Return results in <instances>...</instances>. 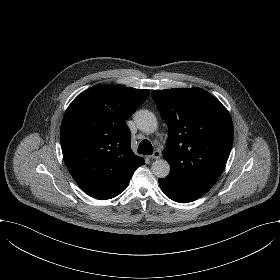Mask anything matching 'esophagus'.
<instances>
[{
    "label": "esophagus",
    "instance_id": "esophagus-1",
    "mask_svg": "<svg viewBox=\"0 0 280 280\" xmlns=\"http://www.w3.org/2000/svg\"><path fill=\"white\" fill-rule=\"evenodd\" d=\"M161 157V151L160 150H155L153 154L150 156L152 159H159Z\"/></svg>",
    "mask_w": 280,
    "mask_h": 280
}]
</instances>
